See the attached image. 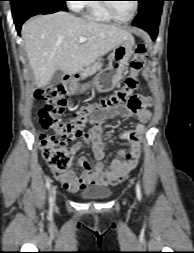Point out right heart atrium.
I'll return each instance as SVG.
<instances>
[{
	"mask_svg": "<svg viewBox=\"0 0 194 253\" xmlns=\"http://www.w3.org/2000/svg\"><path fill=\"white\" fill-rule=\"evenodd\" d=\"M69 6L71 9H73L75 11H79L83 8L84 2H83V0H71L69 3Z\"/></svg>",
	"mask_w": 194,
	"mask_h": 253,
	"instance_id": "1",
	"label": "right heart atrium"
}]
</instances>
